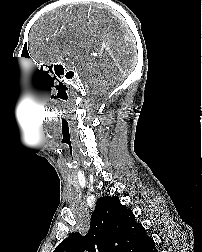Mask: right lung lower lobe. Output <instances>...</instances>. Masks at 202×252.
I'll list each match as a JSON object with an SVG mask.
<instances>
[{
  "mask_svg": "<svg viewBox=\"0 0 202 252\" xmlns=\"http://www.w3.org/2000/svg\"><path fill=\"white\" fill-rule=\"evenodd\" d=\"M145 252H158L156 247H155V243H152L146 250Z\"/></svg>",
  "mask_w": 202,
  "mask_h": 252,
  "instance_id": "1",
  "label": "right lung lower lobe"
}]
</instances>
